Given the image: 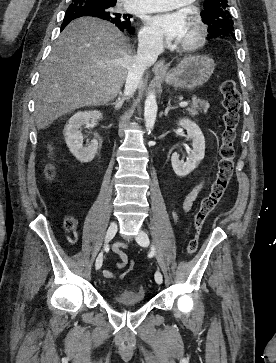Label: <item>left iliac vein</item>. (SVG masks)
I'll use <instances>...</instances> for the list:
<instances>
[{
    "label": "left iliac vein",
    "instance_id": "1",
    "mask_svg": "<svg viewBox=\"0 0 276 363\" xmlns=\"http://www.w3.org/2000/svg\"><path fill=\"white\" fill-rule=\"evenodd\" d=\"M136 240H137L138 244L143 246V247H147L149 245L148 235L143 230L140 231V233L136 237ZM155 281L158 284H162V282H163V276H162V273L159 270H157L155 272Z\"/></svg>",
    "mask_w": 276,
    "mask_h": 363
}]
</instances>
